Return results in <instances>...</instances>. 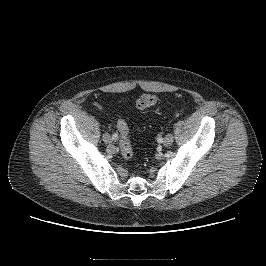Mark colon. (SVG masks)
<instances>
[{
  "label": "colon",
  "mask_w": 266,
  "mask_h": 266,
  "mask_svg": "<svg viewBox=\"0 0 266 266\" xmlns=\"http://www.w3.org/2000/svg\"><path fill=\"white\" fill-rule=\"evenodd\" d=\"M157 102L156 96L153 94H143L135 102V106L140 109H148L153 107ZM117 129L121 135L120 138V150L125 159H131L133 157V149L129 137V127L124 120L117 122Z\"/></svg>",
  "instance_id": "5ec220e1"
}]
</instances>
